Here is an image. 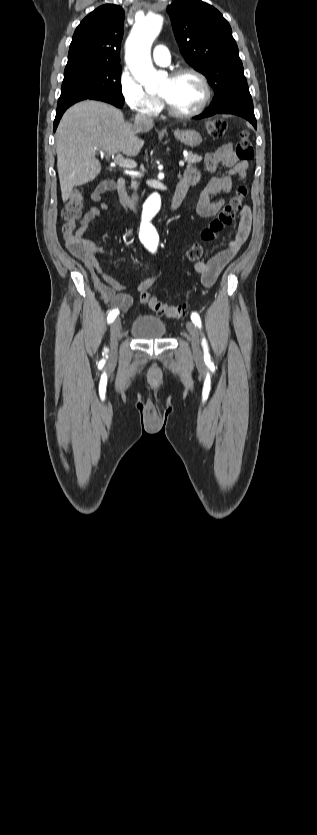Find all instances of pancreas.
Wrapping results in <instances>:
<instances>
[{"label": "pancreas", "instance_id": "obj_1", "mask_svg": "<svg viewBox=\"0 0 317 835\" xmlns=\"http://www.w3.org/2000/svg\"><path fill=\"white\" fill-rule=\"evenodd\" d=\"M185 160L191 166V165H194V164L200 162L202 160V156H199L197 154H193L192 152H189L188 155L186 156Z\"/></svg>", "mask_w": 317, "mask_h": 835}]
</instances>
